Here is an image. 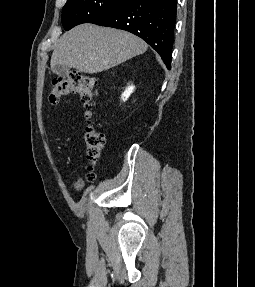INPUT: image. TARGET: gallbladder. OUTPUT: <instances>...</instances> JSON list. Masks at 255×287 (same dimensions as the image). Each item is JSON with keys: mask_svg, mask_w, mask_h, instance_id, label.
Returning a JSON list of instances; mask_svg holds the SVG:
<instances>
[{"mask_svg": "<svg viewBox=\"0 0 255 287\" xmlns=\"http://www.w3.org/2000/svg\"><path fill=\"white\" fill-rule=\"evenodd\" d=\"M69 70L70 68H67V66H54V68H52L53 74H57L59 78H67Z\"/></svg>", "mask_w": 255, "mask_h": 287, "instance_id": "obj_1", "label": "gallbladder"}]
</instances>
